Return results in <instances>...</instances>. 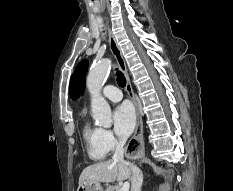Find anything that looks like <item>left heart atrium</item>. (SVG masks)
<instances>
[{"mask_svg":"<svg viewBox=\"0 0 233 191\" xmlns=\"http://www.w3.org/2000/svg\"><path fill=\"white\" fill-rule=\"evenodd\" d=\"M113 123L116 133L121 137H128L136 125V116L129 103L119 105L113 113Z\"/></svg>","mask_w":233,"mask_h":191,"instance_id":"left-heart-atrium-1","label":"left heart atrium"}]
</instances>
